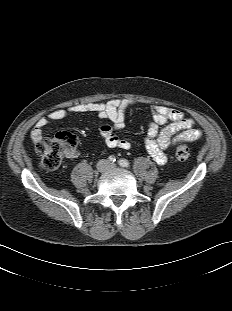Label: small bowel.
I'll use <instances>...</instances> for the list:
<instances>
[{
	"label": "small bowel",
	"instance_id": "c3829d8e",
	"mask_svg": "<svg viewBox=\"0 0 232 311\" xmlns=\"http://www.w3.org/2000/svg\"><path fill=\"white\" fill-rule=\"evenodd\" d=\"M134 105L129 99L113 98L107 102L80 103L65 108H58L39 118L34 124L30 137L34 143L43 139V129L51 121L62 120L69 114H96L102 119H108L111 124H104L100 131L108 147L130 149L129 140L118 135V131L125 127L128 110ZM152 120L148 125L144 145L157 164L167 161L166 150L180 142H192L201 138L202 132L195 128L191 118L177 109L167 106H153Z\"/></svg>",
	"mask_w": 232,
	"mask_h": 311
}]
</instances>
